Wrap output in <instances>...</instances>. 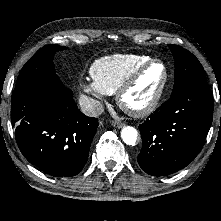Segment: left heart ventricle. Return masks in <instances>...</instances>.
I'll return each mask as SVG.
<instances>
[{"instance_id":"obj_1","label":"left heart ventricle","mask_w":221,"mask_h":221,"mask_svg":"<svg viewBox=\"0 0 221 221\" xmlns=\"http://www.w3.org/2000/svg\"><path fill=\"white\" fill-rule=\"evenodd\" d=\"M163 74L164 70L160 64L150 66L125 95V104L132 108H138L148 103L157 91Z\"/></svg>"}]
</instances>
